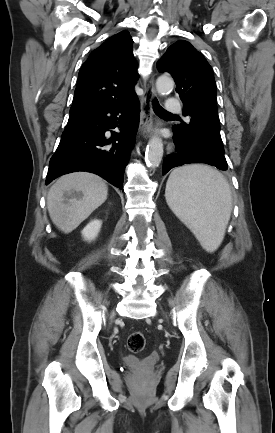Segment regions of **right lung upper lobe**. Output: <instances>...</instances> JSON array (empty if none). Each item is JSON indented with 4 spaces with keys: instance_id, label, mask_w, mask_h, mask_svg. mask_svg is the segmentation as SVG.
<instances>
[{
    "instance_id": "1",
    "label": "right lung upper lobe",
    "mask_w": 275,
    "mask_h": 433,
    "mask_svg": "<svg viewBox=\"0 0 275 433\" xmlns=\"http://www.w3.org/2000/svg\"><path fill=\"white\" fill-rule=\"evenodd\" d=\"M132 44L129 32L122 31L91 52L78 75L70 116L136 96L133 85L137 73Z\"/></svg>"
}]
</instances>
